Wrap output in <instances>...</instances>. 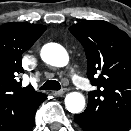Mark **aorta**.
I'll list each match as a JSON object with an SVG mask.
<instances>
[{"label": "aorta", "mask_w": 131, "mask_h": 131, "mask_svg": "<svg viewBox=\"0 0 131 131\" xmlns=\"http://www.w3.org/2000/svg\"><path fill=\"white\" fill-rule=\"evenodd\" d=\"M41 58L47 64L64 67L69 61L66 50L55 43L46 44L41 50ZM66 109L71 113H80L85 106V98L79 92H71L65 97Z\"/></svg>", "instance_id": "762f6f07"}]
</instances>
